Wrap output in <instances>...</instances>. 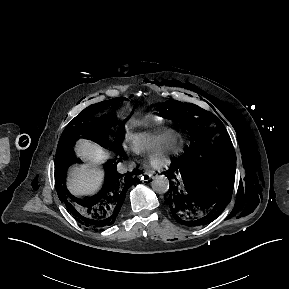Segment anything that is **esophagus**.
Listing matches in <instances>:
<instances>
[{
  "mask_svg": "<svg viewBox=\"0 0 289 289\" xmlns=\"http://www.w3.org/2000/svg\"><path fill=\"white\" fill-rule=\"evenodd\" d=\"M152 179H154V175L152 173H150V172H145L141 176V180L145 181V182H148V181H150Z\"/></svg>",
  "mask_w": 289,
  "mask_h": 289,
  "instance_id": "34e87169",
  "label": "esophagus"
}]
</instances>
